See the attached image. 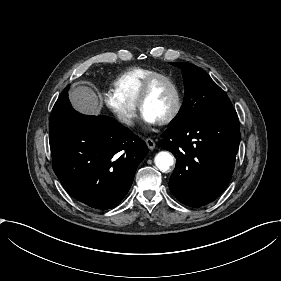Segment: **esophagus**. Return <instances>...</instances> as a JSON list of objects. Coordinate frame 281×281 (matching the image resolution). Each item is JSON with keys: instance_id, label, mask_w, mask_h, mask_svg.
Masks as SVG:
<instances>
[{"instance_id": "1", "label": "esophagus", "mask_w": 281, "mask_h": 281, "mask_svg": "<svg viewBox=\"0 0 281 281\" xmlns=\"http://www.w3.org/2000/svg\"><path fill=\"white\" fill-rule=\"evenodd\" d=\"M145 142L150 150H153L155 148V142L152 139L147 138Z\"/></svg>"}]
</instances>
